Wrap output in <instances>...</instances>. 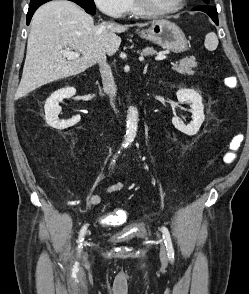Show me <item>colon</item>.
Instances as JSON below:
<instances>
[{
  "label": "colon",
  "instance_id": "obj_1",
  "mask_svg": "<svg viewBox=\"0 0 249 294\" xmlns=\"http://www.w3.org/2000/svg\"><path fill=\"white\" fill-rule=\"evenodd\" d=\"M224 82H225V85L228 87V88H232L233 87V81H232V78L231 77H225L224 79ZM240 136L239 135H236L234 138H233V141L231 143V147L233 149V151L235 149H237L238 145H239V142H240ZM233 152H227L224 157H223V160L225 163L229 164L232 162L233 160ZM126 216V214H125Z\"/></svg>",
  "mask_w": 249,
  "mask_h": 294
}]
</instances>
